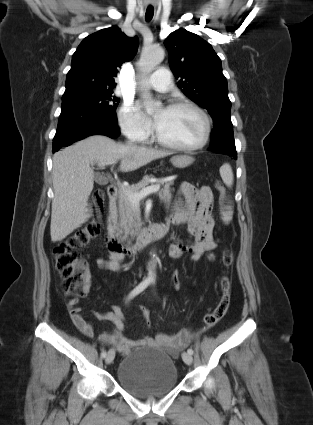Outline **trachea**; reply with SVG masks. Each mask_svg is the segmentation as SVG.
Masks as SVG:
<instances>
[{
	"label": "trachea",
	"instance_id": "1",
	"mask_svg": "<svg viewBox=\"0 0 313 425\" xmlns=\"http://www.w3.org/2000/svg\"><path fill=\"white\" fill-rule=\"evenodd\" d=\"M153 15H154V9L153 8H148L146 10L145 19L147 21H150L153 18Z\"/></svg>",
	"mask_w": 313,
	"mask_h": 425
}]
</instances>
